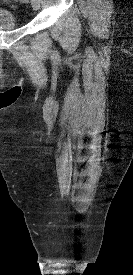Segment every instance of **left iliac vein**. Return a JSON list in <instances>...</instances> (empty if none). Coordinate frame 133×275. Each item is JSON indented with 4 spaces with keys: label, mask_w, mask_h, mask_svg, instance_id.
<instances>
[{
    "label": "left iliac vein",
    "mask_w": 133,
    "mask_h": 275,
    "mask_svg": "<svg viewBox=\"0 0 133 275\" xmlns=\"http://www.w3.org/2000/svg\"><path fill=\"white\" fill-rule=\"evenodd\" d=\"M31 4L37 10L40 7V0H31Z\"/></svg>",
    "instance_id": "obj_1"
}]
</instances>
